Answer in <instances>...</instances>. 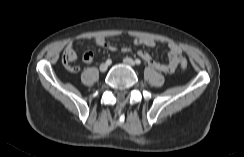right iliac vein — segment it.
Wrapping results in <instances>:
<instances>
[{"instance_id": "right-iliac-vein-1", "label": "right iliac vein", "mask_w": 244, "mask_h": 157, "mask_svg": "<svg viewBox=\"0 0 244 157\" xmlns=\"http://www.w3.org/2000/svg\"><path fill=\"white\" fill-rule=\"evenodd\" d=\"M101 72H105L108 69V64L107 63H102L99 67Z\"/></svg>"}]
</instances>
